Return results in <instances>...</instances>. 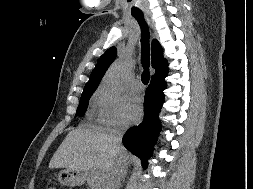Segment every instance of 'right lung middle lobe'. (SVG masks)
<instances>
[{"instance_id":"right-lung-middle-lobe-1","label":"right lung middle lobe","mask_w":253,"mask_h":189,"mask_svg":"<svg viewBox=\"0 0 253 189\" xmlns=\"http://www.w3.org/2000/svg\"><path fill=\"white\" fill-rule=\"evenodd\" d=\"M94 91L95 90L83 91V93L81 95L79 106L77 108L76 115H78V116L84 115V113L87 109L88 103H89V99L92 96V94L94 93Z\"/></svg>"}]
</instances>
